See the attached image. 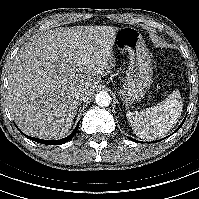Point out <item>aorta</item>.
I'll return each instance as SVG.
<instances>
[{
  "label": "aorta",
  "instance_id": "762f6f07",
  "mask_svg": "<svg viewBox=\"0 0 199 199\" xmlns=\"http://www.w3.org/2000/svg\"><path fill=\"white\" fill-rule=\"evenodd\" d=\"M95 102L100 107H107L111 103V97L107 92L101 91L96 95Z\"/></svg>",
  "mask_w": 199,
  "mask_h": 199
}]
</instances>
